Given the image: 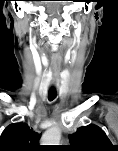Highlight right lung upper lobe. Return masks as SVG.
Returning a JSON list of instances; mask_svg holds the SVG:
<instances>
[{
    "label": "right lung upper lobe",
    "mask_w": 118,
    "mask_h": 151,
    "mask_svg": "<svg viewBox=\"0 0 118 151\" xmlns=\"http://www.w3.org/2000/svg\"><path fill=\"white\" fill-rule=\"evenodd\" d=\"M40 135L25 123H13L0 137V151H35L39 148Z\"/></svg>",
    "instance_id": "obj_1"
}]
</instances>
